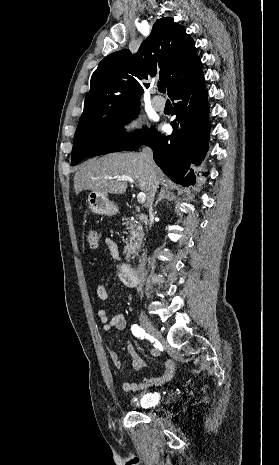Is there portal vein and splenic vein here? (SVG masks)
<instances>
[{"label": "portal vein and splenic vein", "instance_id": "obj_1", "mask_svg": "<svg viewBox=\"0 0 279 465\" xmlns=\"http://www.w3.org/2000/svg\"><path fill=\"white\" fill-rule=\"evenodd\" d=\"M118 181H129L130 183H134V179L129 176H118ZM138 203L143 204L146 201V194L143 192H139L137 195Z\"/></svg>", "mask_w": 279, "mask_h": 465}]
</instances>
